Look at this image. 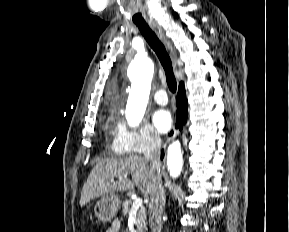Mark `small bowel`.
Here are the masks:
<instances>
[{"label":"small bowel","mask_w":289,"mask_h":232,"mask_svg":"<svg viewBox=\"0 0 289 232\" xmlns=\"http://www.w3.org/2000/svg\"><path fill=\"white\" fill-rule=\"evenodd\" d=\"M120 230V224L118 221H114L105 232H119Z\"/></svg>","instance_id":"small-bowel-1"}]
</instances>
